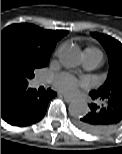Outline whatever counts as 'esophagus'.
I'll return each mask as SVG.
<instances>
[{
	"label": "esophagus",
	"mask_w": 122,
	"mask_h": 154,
	"mask_svg": "<svg viewBox=\"0 0 122 154\" xmlns=\"http://www.w3.org/2000/svg\"><path fill=\"white\" fill-rule=\"evenodd\" d=\"M62 96H63L64 100H65L67 103H70V102L73 101V98H71V97H69V96H67V95H65V94H62Z\"/></svg>",
	"instance_id": "esophagus-1"
}]
</instances>
